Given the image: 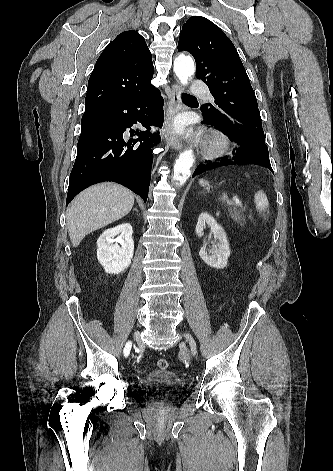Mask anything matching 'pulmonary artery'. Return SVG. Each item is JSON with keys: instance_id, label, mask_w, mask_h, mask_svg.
<instances>
[{"instance_id": "pulmonary-artery-1", "label": "pulmonary artery", "mask_w": 333, "mask_h": 471, "mask_svg": "<svg viewBox=\"0 0 333 471\" xmlns=\"http://www.w3.org/2000/svg\"><path fill=\"white\" fill-rule=\"evenodd\" d=\"M191 93L193 95L206 96L207 98H211V95L208 91L207 86L199 80H195L193 82V84L191 86Z\"/></svg>"}]
</instances>
